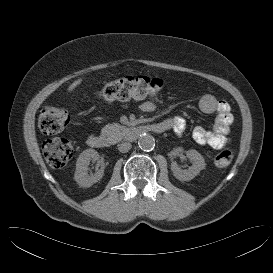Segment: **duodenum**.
Masks as SVG:
<instances>
[{
  "label": "duodenum",
  "mask_w": 273,
  "mask_h": 273,
  "mask_svg": "<svg viewBox=\"0 0 273 273\" xmlns=\"http://www.w3.org/2000/svg\"><path fill=\"white\" fill-rule=\"evenodd\" d=\"M164 123H156L151 125H135L129 128V136L131 139H137L147 133H162L166 130ZM87 144L94 149H103L111 146V141L106 136L93 135L88 138Z\"/></svg>",
  "instance_id": "1"
}]
</instances>
